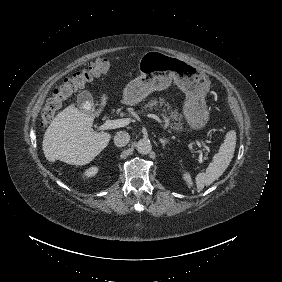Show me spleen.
Returning <instances> with one entry per match:
<instances>
[{
	"mask_svg": "<svg viewBox=\"0 0 282 282\" xmlns=\"http://www.w3.org/2000/svg\"><path fill=\"white\" fill-rule=\"evenodd\" d=\"M235 146L236 132L235 130H230L226 134L224 141L221 143L218 152L213 155L212 160L206 169V173L197 174L196 184L199 189L204 188L205 184H211L224 173L233 157ZM185 181L187 184L190 183L191 178L189 175L185 176Z\"/></svg>",
	"mask_w": 282,
	"mask_h": 282,
	"instance_id": "3e777b00",
	"label": "spleen"
}]
</instances>
